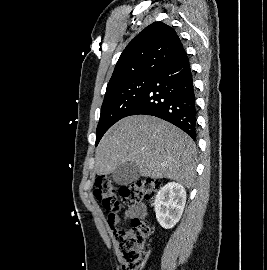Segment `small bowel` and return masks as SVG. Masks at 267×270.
I'll return each mask as SVG.
<instances>
[{
	"mask_svg": "<svg viewBox=\"0 0 267 270\" xmlns=\"http://www.w3.org/2000/svg\"><path fill=\"white\" fill-rule=\"evenodd\" d=\"M147 210L145 205H132L125 209L122 216L109 215L107 224L113 234L119 231V225L126 220L132 221L133 219L143 218L146 216Z\"/></svg>",
	"mask_w": 267,
	"mask_h": 270,
	"instance_id": "1",
	"label": "small bowel"
}]
</instances>
